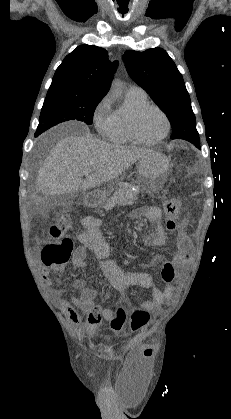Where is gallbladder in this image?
I'll return each mask as SVG.
<instances>
[{
	"instance_id": "1",
	"label": "gallbladder",
	"mask_w": 231,
	"mask_h": 419,
	"mask_svg": "<svg viewBox=\"0 0 231 419\" xmlns=\"http://www.w3.org/2000/svg\"><path fill=\"white\" fill-rule=\"evenodd\" d=\"M72 196L71 195H63V196H52L49 198V203L51 206H61V207H67L72 202Z\"/></svg>"
}]
</instances>
